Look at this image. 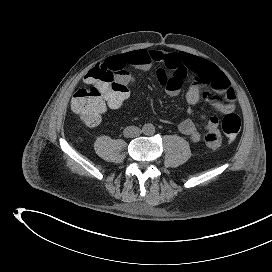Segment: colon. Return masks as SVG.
<instances>
[{
  "mask_svg": "<svg viewBox=\"0 0 272 272\" xmlns=\"http://www.w3.org/2000/svg\"><path fill=\"white\" fill-rule=\"evenodd\" d=\"M125 73L123 67L112 68L100 64L92 68L84 77L87 87L75 92L71 100V109L87 126L94 127L106 105L119 108L129 96L127 82L119 76ZM222 129L226 140L232 143L240 129V117L234 113L226 114L222 119Z\"/></svg>",
  "mask_w": 272,
  "mask_h": 272,
  "instance_id": "colon-1",
  "label": "colon"
}]
</instances>
